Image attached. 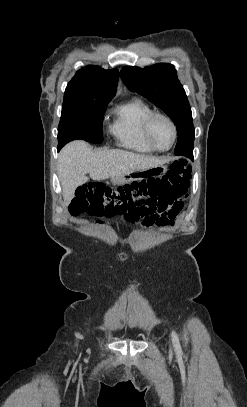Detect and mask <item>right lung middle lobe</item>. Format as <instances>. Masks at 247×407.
<instances>
[{
	"label": "right lung middle lobe",
	"mask_w": 247,
	"mask_h": 407,
	"mask_svg": "<svg viewBox=\"0 0 247 407\" xmlns=\"http://www.w3.org/2000/svg\"><path fill=\"white\" fill-rule=\"evenodd\" d=\"M109 102L63 103L58 127V150L75 139L102 143L103 115Z\"/></svg>",
	"instance_id": "obj_1"
}]
</instances>
